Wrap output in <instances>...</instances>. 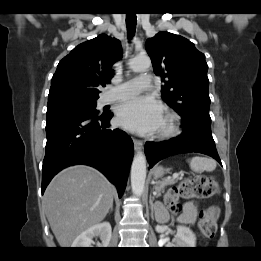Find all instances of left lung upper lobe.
<instances>
[{
	"label": "left lung upper lobe",
	"instance_id": "5c2ea615",
	"mask_svg": "<svg viewBox=\"0 0 261 261\" xmlns=\"http://www.w3.org/2000/svg\"><path fill=\"white\" fill-rule=\"evenodd\" d=\"M145 47L154 73L164 83L163 100L183 121L211 122L205 55L186 38L165 31L149 38Z\"/></svg>",
	"mask_w": 261,
	"mask_h": 261
}]
</instances>
